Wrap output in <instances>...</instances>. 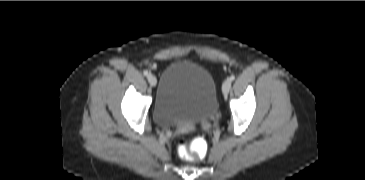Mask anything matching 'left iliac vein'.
<instances>
[{"mask_svg":"<svg viewBox=\"0 0 365 180\" xmlns=\"http://www.w3.org/2000/svg\"><path fill=\"white\" fill-rule=\"evenodd\" d=\"M230 89H231V80L230 79H226L223 82V85H222V92H223L224 96H227L228 95Z\"/></svg>","mask_w":365,"mask_h":180,"instance_id":"left-iliac-vein-1","label":"left iliac vein"}]
</instances>
